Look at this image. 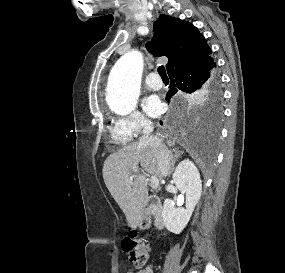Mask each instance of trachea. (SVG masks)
Wrapping results in <instances>:
<instances>
[{"label":"trachea","mask_w":285,"mask_h":273,"mask_svg":"<svg viewBox=\"0 0 285 273\" xmlns=\"http://www.w3.org/2000/svg\"><path fill=\"white\" fill-rule=\"evenodd\" d=\"M158 73L161 76L162 79H168L165 67L163 65L158 67Z\"/></svg>","instance_id":"trachea-1"}]
</instances>
